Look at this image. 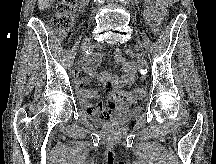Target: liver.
<instances>
[{
    "mask_svg": "<svg viewBox=\"0 0 216 164\" xmlns=\"http://www.w3.org/2000/svg\"><path fill=\"white\" fill-rule=\"evenodd\" d=\"M56 0H38V8L40 11L49 8Z\"/></svg>",
    "mask_w": 216,
    "mask_h": 164,
    "instance_id": "1",
    "label": "liver"
}]
</instances>
